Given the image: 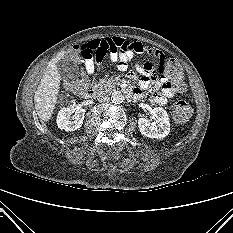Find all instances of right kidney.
Here are the masks:
<instances>
[{
	"label": "right kidney",
	"mask_w": 233,
	"mask_h": 233,
	"mask_svg": "<svg viewBox=\"0 0 233 233\" xmlns=\"http://www.w3.org/2000/svg\"><path fill=\"white\" fill-rule=\"evenodd\" d=\"M74 104L75 102L72 101L70 106L64 107L59 111L56 122L58 128L61 130L75 131L82 126L86 112L84 109L76 110L72 117L73 120H70L69 118L74 112Z\"/></svg>",
	"instance_id": "ca27d5eb"
}]
</instances>
